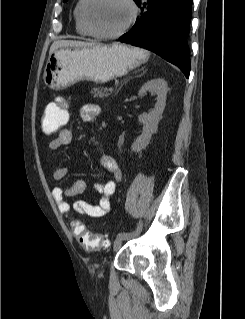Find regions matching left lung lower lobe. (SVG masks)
<instances>
[{
	"instance_id": "left-lung-lower-lobe-1",
	"label": "left lung lower lobe",
	"mask_w": 245,
	"mask_h": 319,
	"mask_svg": "<svg viewBox=\"0 0 245 319\" xmlns=\"http://www.w3.org/2000/svg\"><path fill=\"white\" fill-rule=\"evenodd\" d=\"M141 17L118 41L155 52L178 66L188 78L190 73L187 37L192 0H136ZM145 8V9H144Z\"/></svg>"
}]
</instances>
